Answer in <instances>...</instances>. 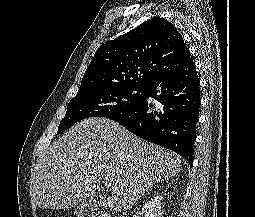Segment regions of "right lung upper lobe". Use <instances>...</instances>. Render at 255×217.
<instances>
[{"label": "right lung upper lobe", "instance_id": "right-lung-upper-lobe-1", "mask_svg": "<svg viewBox=\"0 0 255 217\" xmlns=\"http://www.w3.org/2000/svg\"><path fill=\"white\" fill-rule=\"evenodd\" d=\"M191 59L175 26L154 17L103 44L85 71L78 92L116 86L147 87Z\"/></svg>", "mask_w": 255, "mask_h": 217}]
</instances>
